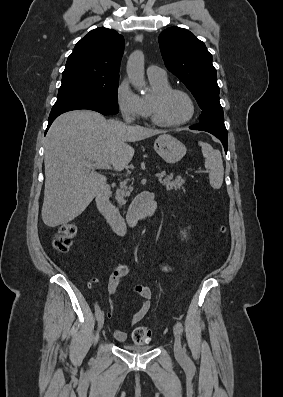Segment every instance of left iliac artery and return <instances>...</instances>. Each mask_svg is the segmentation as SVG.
<instances>
[{
  "label": "left iliac artery",
  "mask_w": 283,
  "mask_h": 397,
  "mask_svg": "<svg viewBox=\"0 0 283 397\" xmlns=\"http://www.w3.org/2000/svg\"><path fill=\"white\" fill-rule=\"evenodd\" d=\"M176 327H177L179 333L182 334V333H183V325H182L180 322H177ZM183 351H184V354H185L186 359H188V357H187V355H186L185 346L183 347Z\"/></svg>",
  "instance_id": "obj_1"
}]
</instances>
